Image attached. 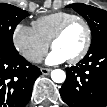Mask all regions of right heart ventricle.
I'll return each mask as SVG.
<instances>
[{
    "label": "right heart ventricle",
    "mask_w": 107,
    "mask_h": 107,
    "mask_svg": "<svg viewBox=\"0 0 107 107\" xmlns=\"http://www.w3.org/2000/svg\"><path fill=\"white\" fill-rule=\"evenodd\" d=\"M73 17H76L73 13L58 11L34 20L32 26L37 35L49 44L57 29Z\"/></svg>",
    "instance_id": "e07e8e85"
}]
</instances>
